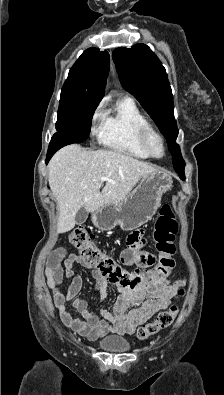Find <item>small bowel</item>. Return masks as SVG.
I'll return each instance as SVG.
<instances>
[{
	"instance_id": "obj_1",
	"label": "small bowel",
	"mask_w": 224,
	"mask_h": 395,
	"mask_svg": "<svg viewBox=\"0 0 224 395\" xmlns=\"http://www.w3.org/2000/svg\"><path fill=\"white\" fill-rule=\"evenodd\" d=\"M145 238L142 231H135L128 236L127 248L121 254V261L125 265H139L148 267L153 264V257L142 250ZM65 249H57L51 256L49 266L45 269V276L52 298L59 311L62 322L79 335L89 340H97L108 334L131 335L136 329L152 317L155 313L165 309L184 279L171 280L167 277L152 276L143 288H136L133 292L119 283V296L112 309H99L96 313L89 309L85 299L79 298L83 285L81 275H75L74 269L81 265L91 270L95 280L94 293L100 301L108 294L109 278L89 265L78 254H71L64 259ZM71 278V283L65 293L61 291L63 279ZM72 300L73 307L81 315L73 317L67 306Z\"/></svg>"
}]
</instances>
